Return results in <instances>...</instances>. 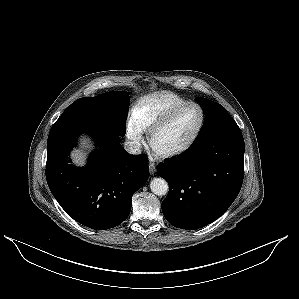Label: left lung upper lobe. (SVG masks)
Returning <instances> with one entry per match:
<instances>
[{
	"label": "left lung upper lobe",
	"mask_w": 299,
	"mask_h": 299,
	"mask_svg": "<svg viewBox=\"0 0 299 299\" xmlns=\"http://www.w3.org/2000/svg\"><path fill=\"white\" fill-rule=\"evenodd\" d=\"M195 100L201 105L205 114V120L200 133L193 142L194 144L201 141L211 131L232 118L227 110L219 103L199 97L195 98Z\"/></svg>",
	"instance_id": "obj_1"
}]
</instances>
